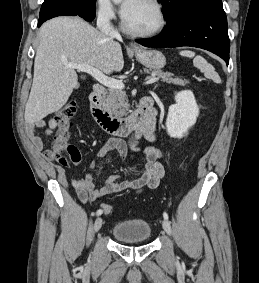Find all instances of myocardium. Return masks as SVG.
Instances as JSON below:
<instances>
[{
	"instance_id": "f54148a6",
	"label": "myocardium",
	"mask_w": 259,
	"mask_h": 283,
	"mask_svg": "<svg viewBox=\"0 0 259 283\" xmlns=\"http://www.w3.org/2000/svg\"><path fill=\"white\" fill-rule=\"evenodd\" d=\"M146 1L150 3L152 6H154V8L156 9L159 15V24L157 25L156 28L149 30V31H136V30L131 29L127 25L124 16H122L121 28L125 33H127L130 36L138 37V38L153 37V36L160 34L167 25V17H166V13H165V10L162 4L158 0H146Z\"/></svg>"
}]
</instances>
